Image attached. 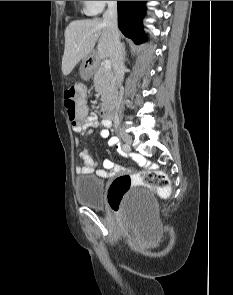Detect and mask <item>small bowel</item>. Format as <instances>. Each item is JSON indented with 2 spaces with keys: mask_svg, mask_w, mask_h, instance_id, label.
I'll return each instance as SVG.
<instances>
[{
  "mask_svg": "<svg viewBox=\"0 0 233 295\" xmlns=\"http://www.w3.org/2000/svg\"><path fill=\"white\" fill-rule=\"evenodd\" d=\"M110 127V119L99 120L94 113H86L84 119L77 124H73L72 128L75 132L82 134L88 133L92 128H98L100 129V137L103 139H108V145L110 147H115L118 145V139L117 137H110ZM79 157L81 159V165L76 168L78 173L86 174L95 172V174L100 178H110L118 172L125 170L122 166L115 163L111 159L104 160V169H96V163L86 148L81 150Z\"/></svg>",
  "mask_w": 233,
  "mask_h": 295,
  "instance_id": "obj_1",
  "label": "small bowel"
}]
</instances>
